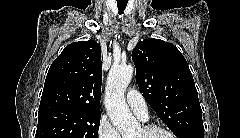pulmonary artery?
Masks as SVG:
<instances>
[{
  "instance_id": "obj_1",
  "label": "pulmonary artery",
  "mask_w": 240,
  "mask_h": 138,
  "mask_svg": "<svg viewBox=\"0 0 240 138\" xmlns=\"http://www.w3.org/2000/svg\"><path fill=\"white\" fill-rule=\"evenodd\" d=\"M126 101L132 111L141 119L148 118V108L145 99L137 90H130L126 95Z\"/></svg>"
}]
</instances>
